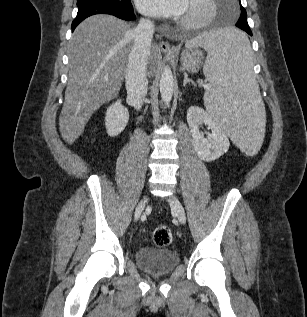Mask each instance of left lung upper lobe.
<instances>
[{"mask_svg": "<svg viewBox=\"0 0 307 317\" xmlns=\"http://www.w3.org/2000/svg\"><path fill=\"white\" fill-rule=\"evenodd\" d=\"M240 9H241V15H240L238 22L236 23V26L239 28L248 24L246 10L242 7V5H240Z\"/></svg>", "mask_w": 307, "mask_h": 317, "instance_id": "5c2ea615", "label": "left lung upper lobe"}]
</instances>
